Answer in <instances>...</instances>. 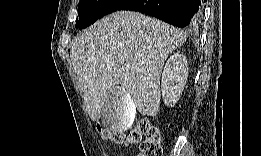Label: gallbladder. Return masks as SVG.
I'll use <instances>...</instances> for the list:
<instances>
[{
	"label": "gallbladder",
	"mask_w": 261,
	"mask_h": 156,
	"mask_svg": "<svg viewBox=\"0 0 261 156\" xmlns=\"http://www.w3.org/2000/svg\"><path fill=\"white\" fill-rule=\"evenodd\" d=\"M122 86V85H119ZM112 90L103 103L102 123L109 130L121 132L132 127L135 119V102L130 100L132 95L124 88Z\"/></svg>",
	"instance_id": "gallbladder-1"
}]
</instances>
